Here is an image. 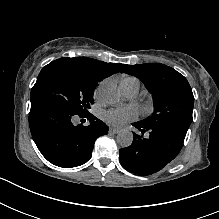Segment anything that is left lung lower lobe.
Returning a JSON list of instances; mask_svg holds the SVG:
<instances>
[{
  "mask_svg": "<svg viewBox=\"0 0 219 219\" xmlns=\"http://www.w3.org/2000/svg\"><path fill=\"white\" fill-rule=\"evenodd\" d=\"M141 134L134 133L130 146L119 150L121 165L138 175H151L164 168L180 152L185 136L178 131L149 127L142 122L133 123Z\"/></svg>",
  "mask_w": 219,
  "mask_h": 219,
  "instance_id": "1",
  "label": "left lung lower lobe"
}]
</instances>
